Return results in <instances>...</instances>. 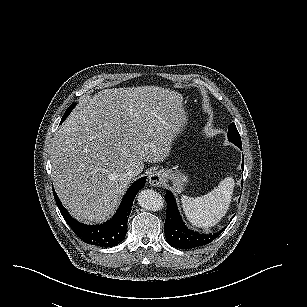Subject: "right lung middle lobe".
<instances>
[{
    "label": "right lung middle lobe",
    "instance_id": "dd1d6c3e",
    "mask_svg": "<svg viewBox=\"0 0 307 307\" xmlns=\"http://www.w3.org/2000/svg\"><path fill=\"white\" fill-rule=\"evenodd\" d=\"M75 106V103H73L67 110L66 112L64 113L63 117H62V120L60 122V124L67 118V116L69 115V113L72 111V109L74 108Z\"/></svg>",
    "mask_w": 307,
    "mask_h": 307
}]
</instances>
